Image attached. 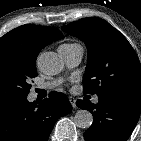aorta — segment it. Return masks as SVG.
Segmentation results:
<instances>
[{
    "label": "aorta",
    "instance_id": "1",
    "mask_svg": "<svg viewBox=\"0 0 141 141\" xmlns=\"http://www.w3.org/2000/svg\"><path fill=\"white\" fill-rule=\"evenodd\" d=\"M39 70L46 75H56L62 70V63L58 55L54 52H44L37 58ZM77 127L88 129L93 123V116L87 110H79L74 116Z\"/></svg>",
    "mask_w": 141,
    "mask_h": 141
}]
</instances>
